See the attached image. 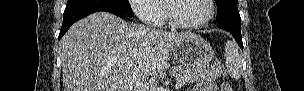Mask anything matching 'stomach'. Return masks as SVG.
<instances>
[{"label":"stomach","mask_w":304,"mask_h":91,"mask_svg":"<svg viewBox=\"0 0 304 91\" xmlns=\"http://www.w3.org/2000/svg\"><path fill=\"white\" fill-rule=\"evenodd\" d=\"M172 51L177 62L192 69L204 68L214 57L210 44L199 36L185 38Z\"/></svg>","instance_id":"1"}]
</instances>
